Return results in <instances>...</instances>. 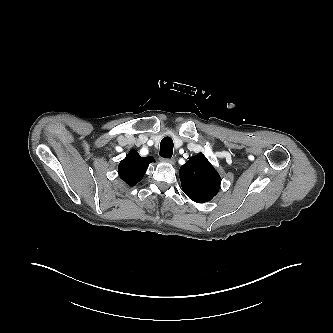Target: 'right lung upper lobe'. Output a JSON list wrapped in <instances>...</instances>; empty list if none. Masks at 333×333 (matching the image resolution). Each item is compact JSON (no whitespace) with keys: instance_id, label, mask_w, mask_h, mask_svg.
<instances>
[{"instance_id":"right-lung-upper-lobe-1","label":"right lung upper lobe","mask_w":333,"mask_h":333,"mask_svg":"<svg viewBox=\"0 0 333 333\" xmlns=\"http://www.w3.org/2000/svg\"><path fill=\"white\" fill-rule=\"evenodd\" d=\"M151 162H154L153 157L143 158L137 151L131 150L119 164V175L129 186H134L142 180Z\"/></svg>"}]
</instances>
